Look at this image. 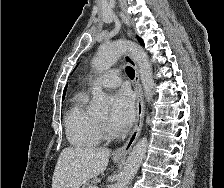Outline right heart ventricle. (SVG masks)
Returning <instances> with one entry per match:
<instances>
[{
	"label": "right heart ventricle",
	"mask_w": 224,
	"mask_h": 188,
	"mask_svg": "<svg viewBox=\"0 0 224 188\" xmlns=\"http://www.w3.org/2000/svg\"><path fill=\"white\" fill-rule=\"evenodd\" d=\"M87 93L80 92L65 116V129L69 142L76 147L97 146L102 138L97 116L87 108Z\"/></svg>",
	"instance_id": "1"
}]
</instances>
